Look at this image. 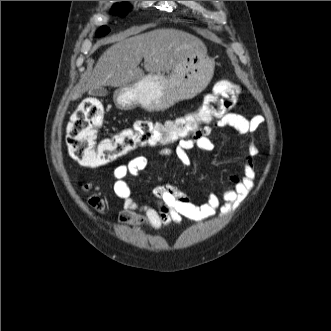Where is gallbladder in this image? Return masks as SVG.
Returning a JSON list of instances; mask_svg holds the SVG:
<instances>
[{
	"mask_svg": "<svg viewBox=\"0 0 331 331\" xmlns=\"http://www.w3.org/2000/svg\"><path fill=\"white\" fill-rule=\"evenodd\" d=\"M108 94L107 90L103 87L92 89L89 92V95L94 96V97H103Z\"/></svg>",
	"mask_w": 331,
	"mask_h": 331,
	"instance_id": "1",
	"label": "gallbladder"
}]
</instances>
